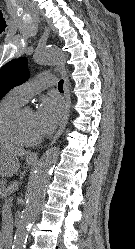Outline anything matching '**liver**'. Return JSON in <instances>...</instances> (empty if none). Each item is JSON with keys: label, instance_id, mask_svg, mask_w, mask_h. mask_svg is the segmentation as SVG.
Wrapping results in <instances>:
<instances>
[{"label": "liver", "instance_id": "liver-1", "mask_svg": "<svg viewBox=\"0 0 135 249\" xmlns=\"http://www.w3.org/2000/svg\"><path fill=\"white\" fill-rule=\"evenodd\" d=\"M1 149L6 150L8 153L15 155V156H24L26 154V152L22 149H17V148H13L9 146H5Z\"/></svg>", "mask_w": 135, "mask_h": 249}]
</instances>
